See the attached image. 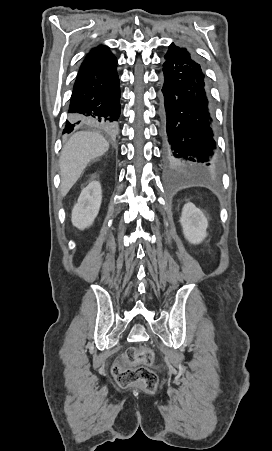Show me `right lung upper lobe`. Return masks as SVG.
Instances as JSON below:
<instances>
[{
  "label": "right lung upper lobe",
  "mask_w": 272,
  "mask_h": 451,
  "mask_svg": "<svg viewBox=\"0 0 272 451\" xmlns=\"http://www.w3.org/2000/svg\"><path fill=\"white\" fill-rule=\"evenodd\" d=\"M108 51H109V48H108V47H105V46H99V47L93 48V49L86 55V57L93 56V55L103 54V53H106V52H108Z\"/></svg>",
  "instance_id": "cb5924a9"
}]
</instances>
